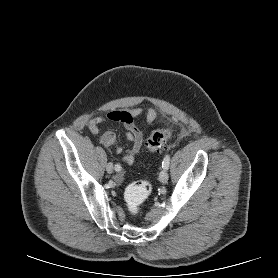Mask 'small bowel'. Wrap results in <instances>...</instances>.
I'll use <instances>...</instances> for the list:
<instances>
[{
  "label": "small bowel",
  "instance_id": "c3829d8e",
  "mask_svg": "<svg viewBox=\"0 0 278 278\" xmlns=\"http://www.w3.org/2000/svg\"><path fill=\"white\" fill-rule=\"evenodd\" d=\"M143 114V109L139 107L112 111L105 116H98L90 120L89 129L92 133H98L100 125L105 122H120L126 129L125 138L132 143V146L127 151H124L121 146L117 144L116 135L112 131H106L101 136V143L107 148H114L119 154H122V159L125 163L132 165L136 161V157L141 151L143 144V133L136 125L135 120ZM145 119L147 122H153L158 113L155 109L149 108L145 111ZM117 181L122 180V175H117Z\"/></svg>",
  "mask_w": 278,
  "mask_h": 278
}]
</instances>
